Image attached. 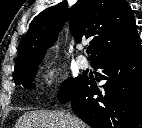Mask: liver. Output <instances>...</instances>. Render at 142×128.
<instances>
[{
  "label": "liver",
  "mask_w": 142,
  "mask_h": 128,
  "mask_svg": "<svg viewBox=\"0 0 142 128\" xmlns=\"http://www.w3.org/2000/svg\"><path fill=\"white\" fill-rule=\"evenodd\" d=\"M15 128H88L78 117L63 111H29L17 121Z\"/></svg>",
  "instance_id": "liver-1"
}]
</instances>
